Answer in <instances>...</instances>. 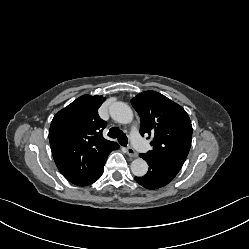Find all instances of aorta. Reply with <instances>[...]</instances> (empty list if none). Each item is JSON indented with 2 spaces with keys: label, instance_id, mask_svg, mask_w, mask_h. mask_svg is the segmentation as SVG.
I'll return each mask as SVG.
<instances>
[{
  "label": "aorta",
  "instance_id": "1",
  "mask_svg": "<svg viewBox=\"0 0 249 249\" xmlns=\"http://www.w3.org/2000/svg\"><path fill=\"white\" fill-rule=\"evenodd\" d=\"M111 117L118 123L128 124L133 120L132 109L124 102H115L110 108ZM148 171V164L142 158H137L131 163V172L137 177H143Z\"/></svg>",
  "mask_w": 249,
  "mask_h": 249
}]
</instances>
